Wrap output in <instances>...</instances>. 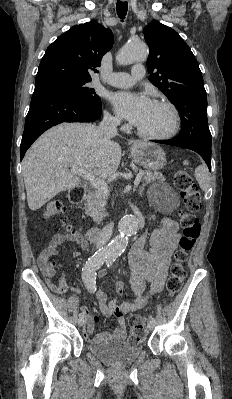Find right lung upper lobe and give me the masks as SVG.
<instances>
[{
	"label": "right lung upper lobe",
	"mask_w": 232,
	"mask_h": 399,
	"mask_svg": "<svg viewBox=\"0 0 232 399\" xmlns=\"http://www.w3.org/2000/svg\"><path fill=\"white\" fill-rule=\"evenodd\" d=\"M113 46V34L96 21L75 25L46 50L35 84L52 78L91 80L103 55Z\"/></svg>",
	"instance_id": "cb5924a9"
}]
</instances>
